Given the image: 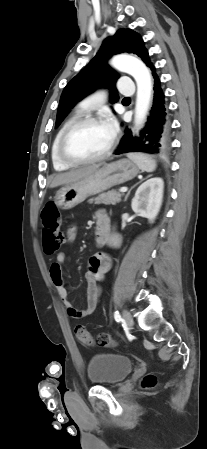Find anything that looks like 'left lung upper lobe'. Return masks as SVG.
Masks as SVG:
<instances>
[{"label":"left lung upper lobe","mask_w":207,"mask_h":449,"mask_svg":"<svg viewBox=\"0 0 207 449\" xmlns=\"http://www.w3.org/2000/svg\"><path fill=\"white\" fill-rule=\"evenodd\" d=\"M122 52L138 55L147 66L151 63L141 36L130 29L118 30L113 37L103 42L96 56L64 88L57 112L56 128L78 101L98 87H108L112 90V103L118 100L115 83L119 76L110 69L107 59Z\"/></svg>","instance_id":"1"}]
</instances>
